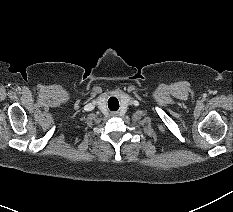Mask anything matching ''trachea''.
I'll list each match as a JSON object with an SVG mask.
<instances>
[{
    "instance_id": "1",
    "label": "trachea",
    "mask_w": 233,
    "mask_h": 212,
    "mask_svg": "<svg viewBox=\"0 0 233 212\" xmlns=\"http://www.w3.org/2000/svg\"><path fill=\"white\" fill-rule=\"evenodd\" d=\"M108 102H109V105H110L109 108L111 110H117L119 108V102H118V100L116 98L112 97V98L109 99Z\"/></svg>"
}]
</instances>
